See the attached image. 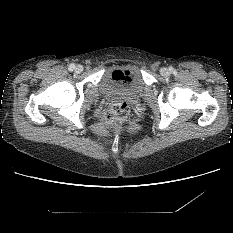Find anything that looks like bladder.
<instances>
[{
	"mask_svg": "<svg viewBox=\"0 0 233 233\" xmlns=\"http://www.w3.org/2000/svg\"><path fill=\"white\" fill-rule=\"evenodd\" d=\"M118 72H124L128 78L123 80ZM144 87L141 71L138 67L128 64L118 68H108L100 81V91L103 96H135Z\"/></svg>",
	"mask_w": 233,
	"mask_h": 233,
	"instance_id": "bladder-1",
	"label": "bladder"
}]
</instances>
